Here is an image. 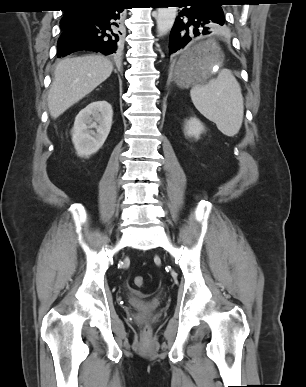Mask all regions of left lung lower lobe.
<instances>
[{
    "label": "left lung lower lobe",
    "instance_id": "0a47b994",
    "mask_svg": "<svg viewBox=\"0 0 306 387\" xmlns=\"http://www.w3.org/2000/svg\"><path fill=\"white\" fill-rule=\"evenodd\" d=\"M170 3L183 4L170 33L169 51L175 53L199 35L211 33V26L224 25L222 3L214 0H176ZM181 8V6H180ZM187 56L182 63L189 59ZM186 59V60H185Z\"/></svg>",
    "mask_w": 306,
    "mask_h": 387
}]
</instances>
